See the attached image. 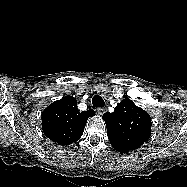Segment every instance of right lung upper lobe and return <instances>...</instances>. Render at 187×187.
Wrapping results in <instances>:
<instances>
[{
    "instance_id": "1",
    "label": "right lung upper lobe",
    "mask_w": 187,
    "mask_h": 187,
    "mask_svg": "<svg viewBox=\"0 0 187 187\" xmlns=\"http://www.w3.org/2000/svg\"><path fill=\"white\" fill-rule=\"evenodd\" d=\"M95 112H79L77 100L67 95L49 105L42 113L44 134L60 145H70L83 134L86 122Z\"/></svg>"
}]
</instances>
